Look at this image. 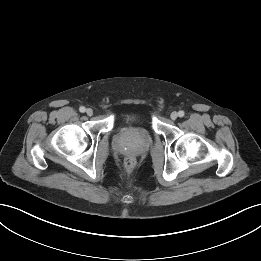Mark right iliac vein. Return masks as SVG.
I'll return each mask as SVG.
<instances>
[{
    "mask_svg": "<svg viewBox=\"0 0 261 261\" xmlns=\"http://www.w3.org/2000/svg\"><path fill=\"white\" fill-rule=\"evenodd\" d=\"M86 114H87L88 116H92V115H93V110H92L91 108H88V109L86 110Z\"/></svg>",
    "mask_w": 261,
    "mask_h": 261,
    "instance_id": "63e3f726",
    "label": "right iliac vein"
}]
</instances>
